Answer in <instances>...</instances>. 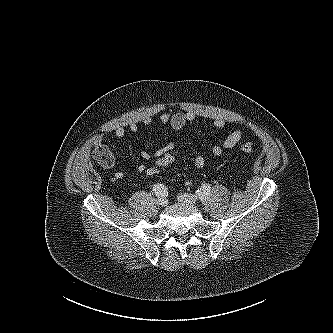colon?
Returning <instances> with one entry per match:
<instances>
[{"label":"colon","mask_w":333,"mask_h":333,"mask_svg":"<svg viewBox=\"0 0 333 333\" xmlns=\"http://www.w3.org/2000/svg\"><path fill=\"white\" fill-rule=\"evenodd\" d=\"M240 149L242 152L250 154L253 152V145L249 142L243 143ZM176 158L174 151L167 152L157 157L151 165L146 166L144 174L149 177H157L167 170L176 161Z\"/></svg>","instance_id":"5ec220e1"}]
</instances>
